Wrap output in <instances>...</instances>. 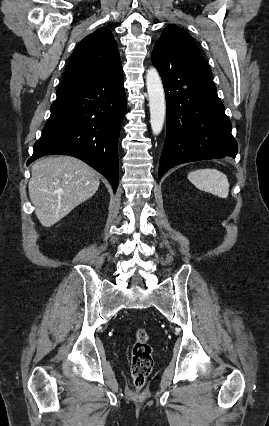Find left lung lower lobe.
Masks as SVG:
<instances>
[{"instance_id": "left-lung-lower-lobe-1", "label": "left lung lower lobe", "mask_w": 269, "mask_h": 426, "mask_svg": "<svg viewBox=\"0 0 269 426\" xmlns=\"http://www.w3.org/2000/svg\"><path fill=\"white\" fill-rule=\"evenodd\" d=\"M151 60L162 77L167 106L159 179L179 164L235 158L238 146L231 134V122L204 57L155 44Z\"/></svg>"}]
</instances>
